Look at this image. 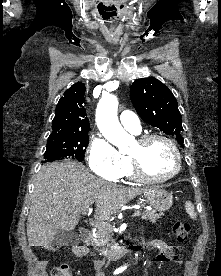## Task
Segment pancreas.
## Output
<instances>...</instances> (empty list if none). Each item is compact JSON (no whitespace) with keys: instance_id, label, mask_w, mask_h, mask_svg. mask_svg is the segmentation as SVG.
I'll return each instance as SVG.
<instances>
[{"instance_id":"cf45deb5","label":"pancreas","mask_w":221,"mask_h":276,"mask_svg":"<svg viewBox=\"0 0 221 276\" xmlns=\"http://www.w3.org/2000/svg\"><path fill=\"white\" fill-rule=\"evenodd\" d=\"M140 215L141 219L150 220L153 223H155L157 219H159L161 216L160 214H157L154 211H144ZM112 243V227L110 225H107L99 229V231L93 238L91 245L103 247L104 249L108 250L112 246Z\"/></svg>"}]
</instances>
